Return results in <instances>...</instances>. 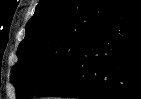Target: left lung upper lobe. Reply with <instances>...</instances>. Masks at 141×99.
Segmentation results:
<instances>
[{"mask_svg":"<svg viewBox=\"0 0 141 99\" xmlns=\"http://www.w3.org/2000/svg\"><path fill=\"white\" fill-rule=\"evenodd\" d=\"M120 0H40L11 70L17 99L58 83Z\"/></svg>","mask_w":141,"mask_h":99,"instance_id":"obj_1","label":"left lung upper lobe"}]
</instances>
